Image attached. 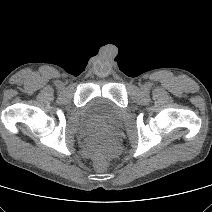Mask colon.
Returning a JSON list of instances; mask_svg holds the SVG:
<instances>
[{"label":"colon","mask_w":212,"mask_h":212,"mask_svg":"<svg viewBox=\"0 0 212 212\" xmlns=\"http://www.w3.org/2000/svg\"><path fill=\"white\" fill-rule=\"evenodd\" d=\"M93 152L95 153V155L100 157L103 153V148L98 145V146L94 147Z\"/></svg>","instance_id":"1"}]
</instances>
